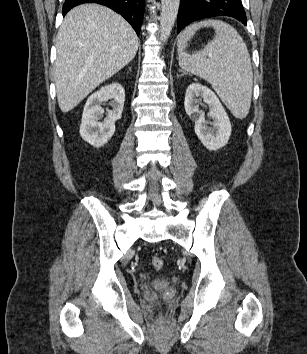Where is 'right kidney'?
<instances>
[{
    "label": "right kidney",
    "instance_id": "obj_1",
    "mask_svg": "<svg viewBox=\"0 0 307 354\" xmlns=\"http://www.w3.org/2000/svg\"><path fill=\"white\" fill-rule=\"evenodd\" d=\"M110 100L112 110H107V117L103 122L104 109L101 104ZM125 101V91L121 84L114 82L102 87L93 93L87 100L80 125V135L94 147H102L113 136L115 132V122L121 118Z\"/></svg>",
    "mask_w": 307,
    "mask_h": 354
}]
</instances>
